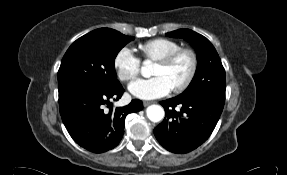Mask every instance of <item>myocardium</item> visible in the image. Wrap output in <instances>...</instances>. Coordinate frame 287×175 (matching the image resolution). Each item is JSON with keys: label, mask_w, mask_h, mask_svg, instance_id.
I'll return each mask as SVG.
<instances>
[{"label": "myocardium", "mask_w": 287, "mask_h": 175, "mask_svg": "<svg viewBox=\"0 0 287 175\" xmlns=\"http://www.w3.org/2000/svg\"><path fill=\"white\" fill-rule=\"evenodd\" d=\"M186 55L189 57L190 59V70L187 74V76L184 78V80L182 82H180L178 85H176L175 87H173V92L178 93V92H182L183 90H185L186 88H188L190 86V84L193 82L196 74H197V70H198V56L196 54V52L191 49V48H184L181 47L161 58H159L158 60H156V63L165 65V66H169L171 64H173L179 57Z\"/></svg>", "instance_id": "obj_1"}]
</instances>
